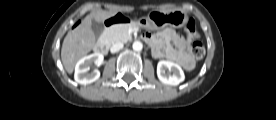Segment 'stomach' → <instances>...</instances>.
I'll return each instance as SVG.
<instances>
[{"label": "stomach", "instance_id": "stomach-1", "mask_svg": "<svg viewBox=\"0 0 276 120\" xmlns=\"http://www.w3.org/2000/svg\"><path fill=\"white\" fill-rule=\"evenodd\" d=\"M189 16L179 10H173L168 12L152 11L147 17L140 18L136 24L139 27L150 30H161L166 26L173 28H181L188 21Z\"/></svg>", "mask_w": 276, "mask_h": 120}]
</instances>
